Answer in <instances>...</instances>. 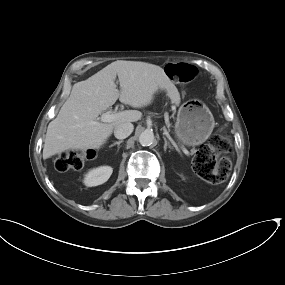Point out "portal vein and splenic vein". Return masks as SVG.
<instances>
[{
	"mask_svg": "<svg viewBox=\"0 0 285 285\" xmlns=\"http://www.w3.org/2000/svg\"><path fill=\"white\" fill-rule=\"evenodd\" d=\"M119 114H120V112L119 113H109V112H106V113H103L102 115H101V121L102 122H113L114 120H116L117 118H118V116H119ZM168 119H166V121H167ZM182 151L186 154V155H190V152L186 149V148H184V147H182Z\"/></svg>",
	"mask_w": 285,
	"mask_h": 285,
	"instance_id": "obj_1",
	"label": "portal vein and splenic vein"
}]
</instances>
